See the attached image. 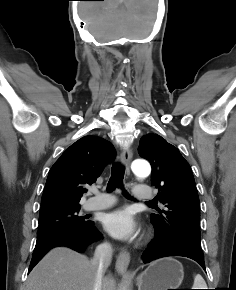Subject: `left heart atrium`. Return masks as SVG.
Wrapping results in <instances>:
<instances>
[{"label":"left heart atrium","mask_w":236,"mask_h":290,"mask_svg":"<svg viewBox=\"0 0 236 290\" xmlns=\"http://www.w3.org/2000/svg\"><path fill=\"white\" fill-rule=\"evenodd\" d=\"M105 230L118 239H130L137 230L131 213L127 209H117L108 213L103 221Z\"/></svg>","instance_id":"1"}]
</instances>
